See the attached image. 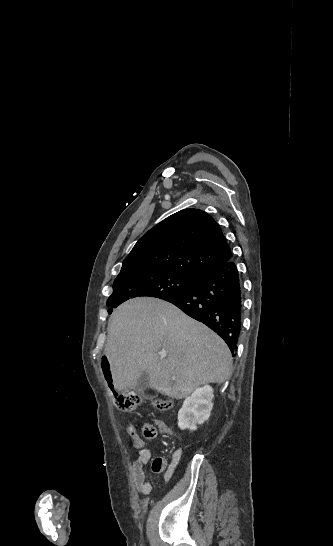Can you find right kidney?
Masks as SVG:
<instances>
[{"label": "right kidney", "mask_w": 333, "mask_h": 546, "mask_svg": "<svg viewBox=\"0 0 333 546\" xmlns=\"http://www.w3.org/2000/svg\"><path fill=\"white\" fill-rule=\"evenodd\" d=\"M213 389L206 385L197 388L191 396L187 397L178 412V426L181 430L196 429L197 424L206 421L213 408Z\"/></svg>", "instance_id": "right-kidney-1"}]
</instances>
